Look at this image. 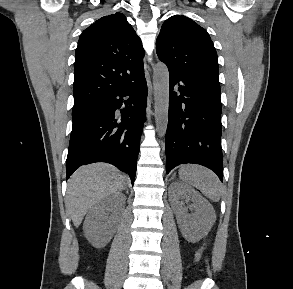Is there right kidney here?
<instances>
[{"instance_id":"right-kidney-1","label":"right kidney","mask_w":293,"mask_h":289,"mask_svg":"<svg viewBox=\"0 0 293 289\" xmlns=\"http://www.w3.org/2000/svg\"><path fill=\"white\" fill-rule=\"evenodd\" d=\"M126 197L121 193L104 198L88 212L84 221L86 238L95 246H103L112 238L124 210ZM108 212H112L109 216Z\"/></svg>"}]
</instances>
